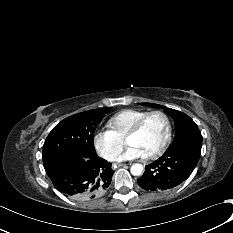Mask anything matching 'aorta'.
<instances>
[{"mask_svg": "<svg viewBox=\"0 0 233 233\" xmlns=\"http://www.w3.org/2000/svg\"><path fill=\"white\" fill-rule=\"evenodd\" d=\"M131 174L134 176H139L143 172V166L141 164H133L130 168Z\"/></svg>", "mask_w": 233, "mask_h": 233, "instance_id": "obj_1", "label": "aorta"}]
</instances>
